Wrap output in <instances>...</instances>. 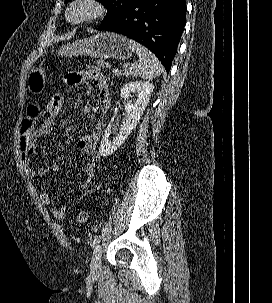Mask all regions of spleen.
<instances>
[{"label": "spleen", "instance_id": "3e777b00", "mask_svg": "<svg viewBox=\"0 0 272 303\" xmlns=\"http://www.w3.org/2000/svg\"><path fill=\"white\" fill-rule=\"evenodd\" d=\"M129 42L139 57L138 64L132 72L133 76L149 80L159 76L163 72V67L157 57L139 43L133 40Z\"/></svg>", "mask_w": 272, "mask_h": 303}]
</instances>
